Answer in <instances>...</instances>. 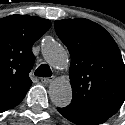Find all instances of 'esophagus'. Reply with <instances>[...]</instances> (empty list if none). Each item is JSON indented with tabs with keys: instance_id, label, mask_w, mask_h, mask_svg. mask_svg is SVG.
<instances>
[{
	"instance_id": "obj_1",
	"label": "esophagus",
	"mask_w": 125,
	"mask_h": 125,
	"mask_svg": "<svg viewBox=\"0 0 125 125\" xmlns=\"http://www.w3.org/2000/svg\"><path fill=\"white\" fill-rule=\"evenodd\" d=\"M54 81L53 77L41 78V82L44 84H50Z\"/></svg>"
}]
</instances>
